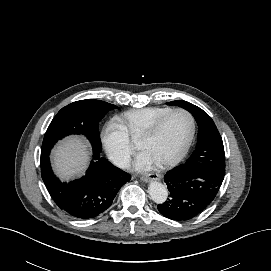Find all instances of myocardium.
Returning a JSON list of instances; mask_svg holds the SVG:
<instances>
[{
	"mask_svg": "<svg viewBox=\"0 0 271 271\" xmlns=\"http://www.w3.org/2000/svg\"><path fill=\"white\" fill-rule=\"evenodd\" d=\"M178 112H183L185 114H187L191 120V132H190V136L186 142V144L184 145V147L181 149L180 152H178L175 156L162 161V162H157L158 166L160 167H168V166H173L176 165L177 163H179L189 152L193 142H194V138H195V134H196V119L194 117V115L185 108H175L172 109L171 111H169L168 113L164 114L162 117H160L158 120H156L154 123H152L149 127H147L141 134H140V139H144L146 137H151L153 135H155L159 129L162 127V125L165 123V121L172 116L175 113ZM139 139V140H140Z\"/></svg>",
	"mask_w": 271,
	"mask_h": 271,
	"instance_id": "myocardium-1",
	"label": "myocardium"
}]
</instances>
